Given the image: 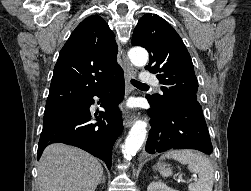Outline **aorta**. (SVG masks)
Returning a JSON list of instances; mask_svg holds the SVG:
<instances>
[{"instance_id":"obj_1","label":"aorta","mask_w":251,"mask_h":191,"mask_svg":"<svg viewBox=\"0 0 251 191\" xmlns=\"http://www.w3.org/2000/svg\"><path fill=\"white\" fill-rule=\"evenodd\" d=\"M128 58L134 66H146L148 62V54L144 48H131L128 52ZM147 123L142 119H137L134 125H132L124 145H122V151H124V157L131 159L132 155L137 153L140 149L143 141H145L147 133Z\"/></svg>"}]
</instances>
